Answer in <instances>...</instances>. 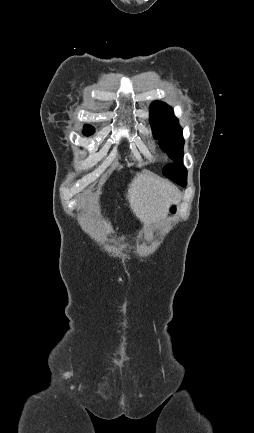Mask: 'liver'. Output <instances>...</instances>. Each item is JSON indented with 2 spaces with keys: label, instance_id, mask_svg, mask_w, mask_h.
I'll list each match as a JSON object with an SVG mask.
<instances>
[{
  "label": "liver",
  "instance_id": "6515ba94",
  "mask_svg": "<svg viewBox=\"0 0 254 433\" xmlns=\"http://www.w3.org/2000/svg\"><path fill=\"white\" fill-rule=\"evenodd\" d=\"M177 188L165 179L149 173H138L128 188L126 198L137 218L145 225L165 216L178 197ZM106 233L113 232L110 222L103 221Z\"/></svg>",
  "mask_w": 254,
  "mask_h": 433
}]
</instances>
